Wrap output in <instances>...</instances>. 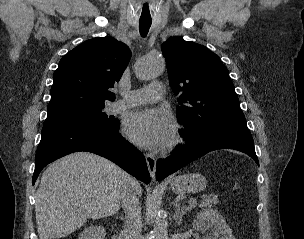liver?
<instances>
[{"mask_svg":"<svg viewBox=\"0 0 304 239\" xmlns=\"http://www.w3.org/2000/svg\"><path fill=\"white\" fill-rule=\"evenodd\" d=\"M129 178L111 161L88 152L72 153L52 163L36 193L39 238H63L89 218L115 214ZM141 190L136 182V194L140 196Z\"/></svg>","mask_w":304,"mask_h":239,"instance_id":"1","label":"liver"}]
</instances>
